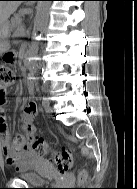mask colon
<instances>
[{
	"label": "colon",
	"instance_id": "obj_1",
	"mask_svg": "<svg viewBox=\"0 0 137 189\" xmlns=\"http://www.w3.org/2000/svg\"><path fill=\"white\" fill-rule=\"evenodd\" d=\"M12 61L13 54L7 53L6 61L4 63H0V97L4 95V88L15 78V72L11 66ZM36 111L37 104L31 101L26 108V112L28 114H35ZM28 147L38 156L52 154L57 169L60 172H67L72 168L73 159L69 150L62 149L59 151H53L51 146L43 138L33 136L29 138Z\"/></svg>",
	"mask_w": 137,
	"mask_h": 189
}]
</instances>
